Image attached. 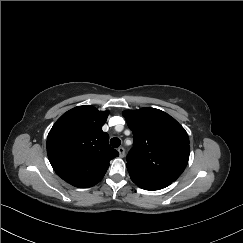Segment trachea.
<instances>
[{
  "mask_svg": "<svg viewBox=\"0 0 243 243\" xmlns=\"http://www.w3.org/2000/svg\"><path fill=\"white\" fill-rule=\"evenodd\" d=\"M110 144H111L112 147L118 148L121 144V141H120L119 138L114 137L110 140Z\"/></svg>",
  "mask_w": 243,
  "mask_h": 243,
  "instance_id": "obj_1",
  "label": "trachea"
}]
</instances>
